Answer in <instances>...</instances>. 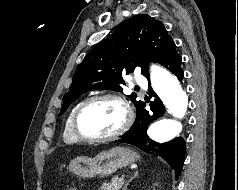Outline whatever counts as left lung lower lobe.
I'll list each match as a JSON object with an SVG mask.
<instances>
[{"mask_svg": "<svg viewBox=\"0 0 238 190\" xmlns=\"http://www.w3.org/2000/svg\"><path fill=\"white\" fill-rule=\"evenodd\" d=\"M181 56L177 51L173 52L161 65L170 70L182 81ZM156 99L150 102V110L145 109L146 103L141 102L137 107L136 120L132 127L118 140L120 143L134 145L147 153H154L165 159L174 168L176 177L179 176L185 156V142L182 137L175 138L166 143H158L147 135V127L154 120L163 116L165 107L157 95L151 90Z\"/></svg>", "mask_w": 238, "mask_h": 190, "instance_id": "1", "label": "left lung lower lobe"}]
</instances>
